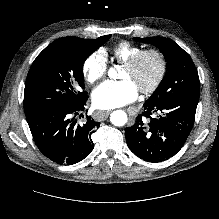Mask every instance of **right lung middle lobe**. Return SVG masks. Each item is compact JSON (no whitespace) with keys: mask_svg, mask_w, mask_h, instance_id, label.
I'll list each match as a JSON object with an SVG mask.
<instances>
[{"mask_svg":"<svg viewBox=\"0 0 219 219\" xmlns=\"http://www.w3.org/2000/svg\"><path fill=\"white\" fill-rule=\"evenodd\" d=\"M111 35L97 39L64 37L48 45L33 62L25 83L26 116L49 106H76L87 99L83 64Z\"/></svg>","mask_w":219,"mask_h":219,"instance_id":"obj_1","label":"right lung middle lobe"}]
</instances>
